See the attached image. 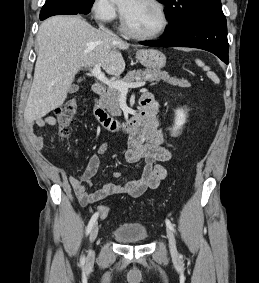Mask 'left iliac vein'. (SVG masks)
<instances>
[{
    "label": "left iliac vein",
    "mask_w": 259,
    "mask_h": 283,
    "mask_svg": "<svg viewBox=\"0 0 259 283\" xmlns=\"http://www.w3.org/2000/svg\"><path fill=\"white\" fill-rule=\"evenodd\" d=\"M166 233H167V238H168V241H169V247H170L171 254L173 256H177L178 252H177V248H176L175 236H174V234H173V232L170 228L166 229Z\"/></svg>",
    "instance_id": "4c4485c4"
}]
</instances>
